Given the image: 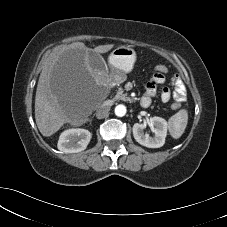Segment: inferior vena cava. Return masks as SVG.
<instances>
[{
  "label": "inferior vena cava",
  "mask_w": 227,
  "mask_h": 227,
  "mask_svg": "<svg viewBox=\"0 0 227 227\" xmlns=\"http://www.w3.org/2000/svg\"><path fill=\"white\" fill-rule=\"evenodd\" d=\"M109 111H110V107H109V106H104V105H102V106H100V107L98 108V110H97V112H96V117H97L98 119H102V118L108 116Z\"/></svg>",
  "instance_id": "602c4592"
}]
</instances>
